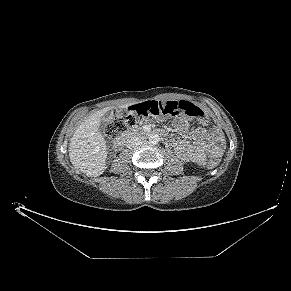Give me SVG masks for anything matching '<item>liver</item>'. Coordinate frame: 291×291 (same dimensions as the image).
<instances>
[{"instance_id":"1","label":"liver","mask_w":291,"mask_h":291,"mask_svg":"<svg viewBox=\"0 0 291 291\" xmlns=\"http://www.w3.org/2000/svg\"><path fill=\"white\" fill-rule=\"evenodd\" d=\"M133 103L120 108H127ZM111 107L103 108L86 118L74 132L70 145L69 157L73 166L88 177H97L106 169V141L99 132L101 118Z\"/></svg>"}]
</instances>
